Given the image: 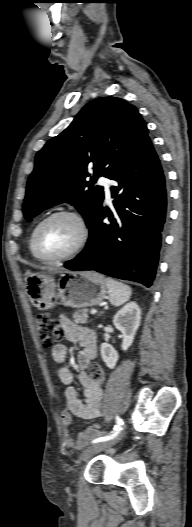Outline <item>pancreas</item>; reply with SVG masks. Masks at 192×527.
<instances>
[{"mask_svg": "<svg viewBox=\"0 0 192 527\" xmlns=\"http://www.w3.org/2000/svg\"><path fill=\"white\" fill-rule=\"evenodd\" d=\"M75 323L86 324L88 322V309H81L73 313Z\"/></svg>", "mask_w": 192, "mask_h": 527, "instance_id": "1", "label": "pancreas"}]
</instances>
